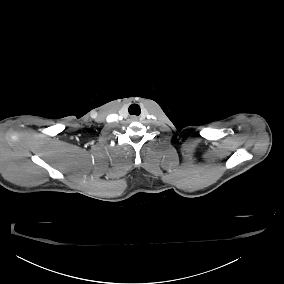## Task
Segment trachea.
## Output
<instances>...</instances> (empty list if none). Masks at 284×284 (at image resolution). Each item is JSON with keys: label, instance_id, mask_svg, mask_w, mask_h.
Returning a JSON list of instances; mask_svg holds the SVG:
<instances>
[{"label": "trachea", "instance_id": "1", "mask_svg": "<svg viewBox=\"0 0 284 284\" xmlns=\"http://www.w3.org/2000/svg\"><path fill=\"white\" fill-rule=\"evenodd\" d=\"M128 112L130 113V115H137V116H139L140 113H141V108H140V106L138 104H132L128 108Z\"/></svg>", "mask_w": 284, "mask_h": 284}]
</instances>
